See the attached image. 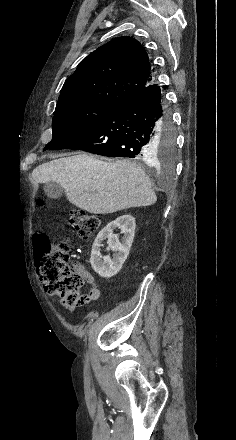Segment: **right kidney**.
<instances>
[{"mask_svg":"<svg viewBox=\"0 0 236 440\" xmlns=\"http://www.w3.org/2000/svg\"><path fill=\"white\" fill-rule=\"evenodd\" d=\"M135 218L129 214L122 215L109 223L97 235L91 250L90 263L93 270L103 278H111L122 268L123 263L129 255L135 234ZM120 229L124 234L121 241L113 230ZM107 239V244L112 250L113 258L101 255L102 242Z\"/></svg>","mask_w":236,"mask_h":440,"instance_id":"right-kidney-1","label":"right kidney"}]
</instances>
